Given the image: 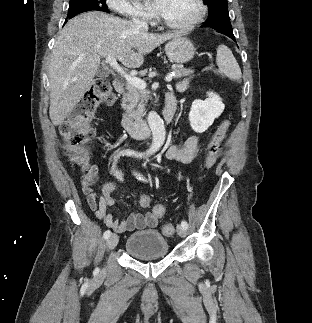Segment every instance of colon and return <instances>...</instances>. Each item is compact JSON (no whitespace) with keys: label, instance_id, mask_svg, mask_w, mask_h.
<instances>
[{"label":"colon","instance_id":"1","mask_svg":"<svg viewBox=\"0 0 312 323\" xmlns=\"http://www.w3.org/2000/svg\"><path fill=\"white\" fill-rule=\"evenodd\" d=\"M91 88L92 90L83 98L84 107L77 108L72 117L61 124V133L64 137L63 147L69 153L71 163L82 167L89 166L91 158L89 143L94 137V131L90 127V122L95 111L91 108V105H111L115 101V95L107 78H96L92 82ZM230 126V119H225L211 136L206 150L205 168L210 169L215 165L220 156V146L225 140ZM149 201L148 196L140 197L142 206H147ZM154 212L163 213L164 204L159 202L154 207ZM162 232L165 235H172L174 225L171 223L164 224Z\"/></svg>","mask_w":312,"mask_h":323}]
</instances>
